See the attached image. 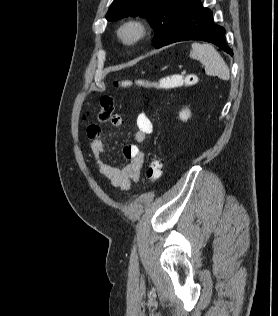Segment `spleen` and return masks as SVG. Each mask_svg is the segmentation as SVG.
I'll use <instances>...</instances> for the list:
<instances>
[{
	"instance_id": "1",
	"label": "spleen",
	"mask_w": 278,
	"mask_h": 316,
	"mask_svg": "<svg viewBox=\"0 0 278 316\" xmlns=\"http://www.w3.org/2000/svg\"><path fill=\"white\" fill-rule=\"evenodd\" d=\"M190 57L199 60L205 65L208 75H216L223 80H228L230 71L219 52L210 44L193 43Z\"/></svg>"
}]
</instances>
